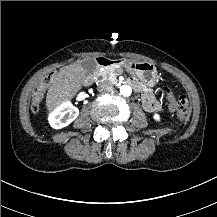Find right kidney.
Instances as JSON below:
<instances>
[{"mask_svg": "<svg viewBox=\"0 0 217 217\" xmlns=\"http://www.w3.org/2000/svg\"><path fill=\"white\" fill-rule=\"evenodd\" d=\"M78 114V108L73 106L70 101H65L48 115V122L52 128L61 129L73 122Z\"/></svg>", "mask_w": 217, "mask_h": 217, "instance_id": "1", "label": "right kidney"}]
</instances>
